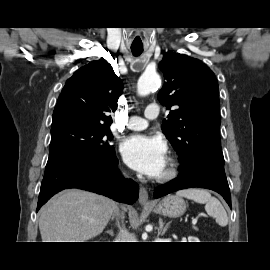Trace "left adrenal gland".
<instances>
[{
	"mask_svg": "<svg viewBox=\"0 0 270 270\" xmlns=\"http://www.w3.org/2000/svg\"><path fill=\"white\" fill-rule=\"evenodd\" d=\"M169 226H170V223H167L165 225L163 223V220L161 218L159 219V230H160V233H161L162 236L166 233V231L169 228Z\"/></svg>",
	"mask_w": 270,
	"mask_h": 270,
	"instance_id": "a2214340",
	"label": "left adrenal gland"
}]
</instances>
